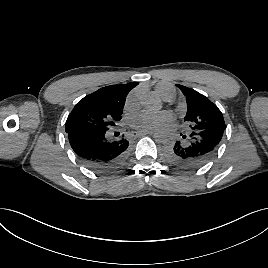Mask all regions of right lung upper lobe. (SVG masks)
Segmentation results:
<instances>
[{
	"instance_id": "right-lung-upper-lobe-1",
	"label": "right lung upper lobe",
	"mask_w": 268,
	"mask_h": 268,
	"mask_svg": "<svg viewBox=\"0 0 268 268\" xmlns=\"http://www.w3.org/2000/svg\"><path fill=\"white\" fill-rule=\"evenodd\" d=\"M138 84V82H131L121 85L106 86L85 96L82 100H97L105 105L124 107L127 94Z\"/></svg>"
}]
</instances>
